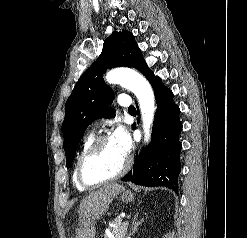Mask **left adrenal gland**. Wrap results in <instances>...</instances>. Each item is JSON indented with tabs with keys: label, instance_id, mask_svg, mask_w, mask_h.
<instances>
[{
	"label": "left adrenal gland",
	"instance_id": "1",
	"mask_svg": "<svg viewBox=\"0 0 247 238\" xmlns=\"http://www.w3.org/2000/svg\"><path fill=\"white\" fill-rule=\"evenodd\" d=\"M143 221L144 219L138 221V214L134 216V219L132 221V230L129 233L130 236L134 235L138 231V227L141 225Z\"/></svg>",
	"mask_w": 247,
	"mask_h": 238
}]
</instances>
